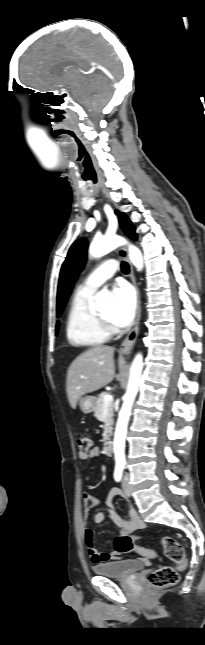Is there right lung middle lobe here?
<instances>
[{
    "instance_id": "right-lung-middle-lobe-1",
    "label": "right lung middle lobe",
    "mask_w": 205,
    "mask_h": 645,
    "mask_svg": "<svg viewBox=\"0 0 205 645\" xmlns=\"http://www.w3.org/2000/svg\"><path fill=\"white\" fill-rule=\"evenodd\" d=\"M57 331H58V328H56V333H57Z\"/></svg>"
}]
</instances>
